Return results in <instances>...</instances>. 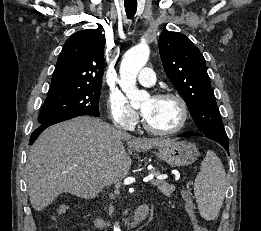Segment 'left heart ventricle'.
Instances as JSON below:
<instances>
[{
    "mask_svg": "<svg viewBox=\"0 0 261 231\" xmlns=\"http://www.w3.org/2000/svg\"><path fill=\"white\" fill-rule=\"evenodd\" d=\"M141 111L149 124L158 130L173 129L181 118L179 105L172 98L149 97L142 103Z\"/></svg>",
    "mask_w": 261,
    "mask_h": 231,
    "instance_id": "left-heart-ventricle-1",
    "label": "left heart ventricle"
}]
</instances>
